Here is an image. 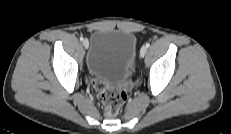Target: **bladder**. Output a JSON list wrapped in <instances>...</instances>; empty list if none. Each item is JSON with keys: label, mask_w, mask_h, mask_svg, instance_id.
I'll list each match as a JSON object with an SVG mask.
<instances>
[{"label": "bladder", "mask_w": 231, "mask_h": 134, "mask_svg": "<svg viewBox=\"0 0 231 134\" xmlns=\"http://www.w3.org/2000/svg\"><path fill=\"white\" fill-rule=\"evenodd\" d=\"M137 47V38L130 31H94L85 59L88 74L106 85H124L133 73Z\"/></svg>", "instance_id": "obj_1"}]
</instances>
